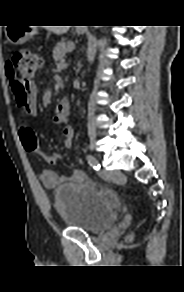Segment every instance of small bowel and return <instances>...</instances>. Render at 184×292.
Returning <instances> with one entry per match:
<instances>
[{
  "mask_svg": "<svg viewBox=\"0 0 184 292\" xmlns=\"http://www.w3.org/2000/svg\"><path fill=\"white\" fill-rule=\"evenodd\" d=\"M32 86L36 88V85L33 82H32ZM13 92L17 101V94L14 91V89H13ZM64 122H65V119H60L57 116L54 118L55 124H63ZM22 127H23V121L19 128V135H20V130ZM73 138H74L73 127L71 125H66L62 131L63 144L66 148L72 147ZM39 179L46 188L52 189L65 182L83 183L87 180V176L83 171L78 170V169L72 170L69 175H62V176L58 175L56 172L52 170H44L39 174Z\"/></svg>",
  "mask_w": 184,
  "mask_h": 292,
  "instance_id": "small-bowel-1",
  "label": "small bowel"
}]
</instances>
